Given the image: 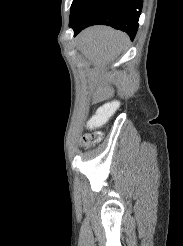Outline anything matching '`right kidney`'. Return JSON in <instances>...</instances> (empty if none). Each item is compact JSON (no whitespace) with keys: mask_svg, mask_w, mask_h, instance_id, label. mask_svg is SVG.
<instances>
[{"mask_svg":"<svg viewBox=\"0 0 183 246\" xmlns=\"http://www.w3.org/2000/svg\"><path fill=\"white\" fill-rule=\"evenodd\" d=\"M119 106L120 103L118 101H113L98 108L96 114L88 122L87 127H89L90 129L101 127L116 112Z\"/></svg>","mask_w":183,"mask_h":246,"instance_id":"ca27d5eb","label":"right kidney"}]
</instances>
